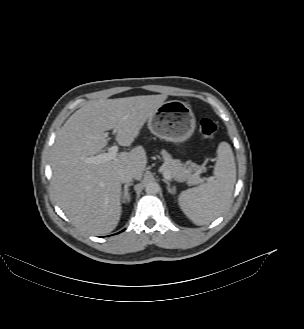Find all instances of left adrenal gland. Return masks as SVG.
I'll use <instances>...</instances> for the list:
<instances>
[{
	"label": "left adrenal gland",
	"mask_w": 304,
	"mask_h": 329,
	"mask_svg": "<svg viewBox=\"0 0 304 329\" xmlns=\"http://www.w3.org/2000/svg\"><path fill=\"white\" fill-rule=\"evenodd\" d=\"M163 181L167 184V190H168V192H169L170 194H173V193H174V187L171 188V184H170V182H169L168 180L163 179Z\"/></svg>",
	"instance_id": "left-adrenal-gland-1"
}]
</instances>
